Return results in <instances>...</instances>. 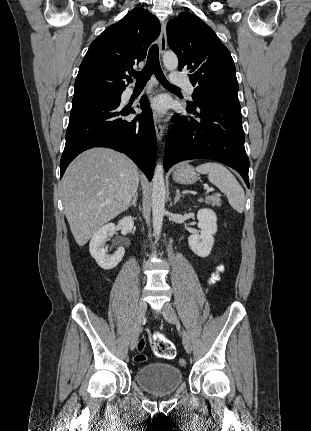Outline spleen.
I'll use <instances>...</instances> for the list:
<instances>
[{"label":"spleen","mask_w":311,"mask_h":431,"mask_svg":"<svg viewBox=\"0 0 311 431\" xmlns=\"http://www.w3.org/2000/svg\"><path fill=\"white\" fill-rule=\"evenodd\" d=\"M196 172L207 174L209 182L219 188L223 194H226L231 208L242 214L246 202L244 190L227 168L221 164H216V162H207V164L197 166Z\"/></svg>","instance_id":"obj_1"}]
</instances>
